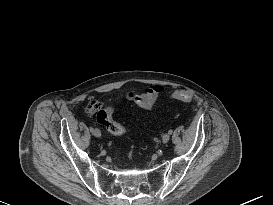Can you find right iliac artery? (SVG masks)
<instances>
[{"instance_id": "1", "label": "right iliac artery", "mask_w": 273, "mask_h": 205, "mask_svg": "<svg viewBox=\"0 0 273 205\" xmlns=\"http://www.w3.org/2000/svg\"><path fill=\"white\" fill-rule=\"evenodd\" d=\"M94 128L93 127H90V132H93Z\"/></svg>"}]
</instances>
